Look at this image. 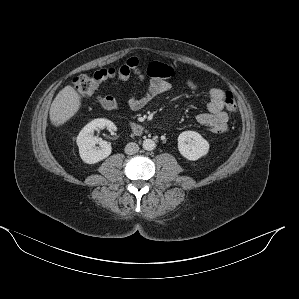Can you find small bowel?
Here are the masks:
<instances>
[{"mask_svg": "<svg viewBox=\"0 0 299 299\" xmlns=\"http://www.w3.org/2000/svg\"><path fill=\"white\" fill-rule=\"evenodd\" d=\"M114 75L121 81H126L134 74L139 80L148 77V87L141 95H134L128 99V106L133 110H140L149 105L157 96L171 88L169 79L175 76L174 69L159 62H151L145 71L142 70L137 58H130L125 64L114 69ZM191 90H197L198 84L193 80L187 81ZM209 102L207 112L197 115V121L202 126L208 127L214 133H224L228 130V115L224 111L225 91L211 87L208 91ZM97 102L107 110L118 108V102L113 96H97Z\"/></svg>", "mask_w": 299, "mask_h": 299, "instance_id": "c3829d8e", "label": "small bowel"}]
</instances>
